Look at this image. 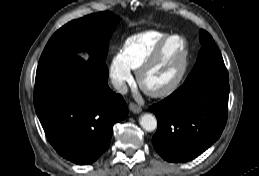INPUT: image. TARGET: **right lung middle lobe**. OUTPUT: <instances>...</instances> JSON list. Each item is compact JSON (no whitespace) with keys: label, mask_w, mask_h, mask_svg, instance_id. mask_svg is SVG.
<instances>
[{"label":"right lung middle lobe","mask_w":259,"mask_h":176,"mask_svg":"<svg viewBox=\"0 0 259 176\" xmlns=\"http://www.w3.org/2000/svg\"><path fill=\"white\" fill-rule=\"evenodd\" d=\"M117 21V17L111 12L104 11L67 23L50 38L39 65L60 56L75 54L83 48L93 57L104 60L107 41Z\"/></svg>","instance_id":"dd1d6c3e"}]
</instances>
